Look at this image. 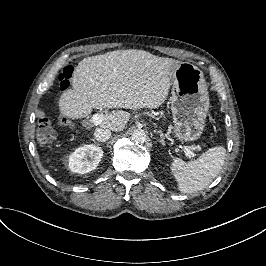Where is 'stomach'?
Returning <instances> with one entry per match:
<instances>
[{
	"label": "stomach",
	"mask_w": 266,
	"mask_h": 266,
	"mask_svg": "<svg viewBox=\"0 0 266 266\" xmlns=\"http://www.w3.org/2000/svg\"><path fill=\"white\" fill-rule=\"evenodd\" d=\"M173 135L178 142H193L206 129L210 101L203 72L191 63L180 64L172 77Z\"/></svg>",
	"instance_id": "stomach-1"
}]
</instances>
